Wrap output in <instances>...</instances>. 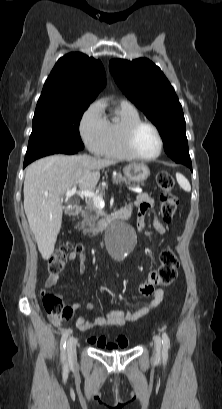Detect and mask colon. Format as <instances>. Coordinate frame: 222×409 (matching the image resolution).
Segmentation results:
<instances>
[{"label": "colon", "instance_id": "obj_1", "mask_svg": "<svg viewBox=\"0 0 222 409\" xmlns=\"http://www.w3.org/2000/svg\"><path fill=\"white\" fill-rule=\"evenodd\" d=\"M157 186L163 193L161 197L160 212L164 219H170L175 214L178 206V199L172 194L175 187V180L168 172H160L157 175ZM78 254H82L83 248L81 245L75 247L71 245H61L54 250L48 261V270L51 274L60 273L68 260L70 250L73 249ZM179 268V259L172 249L167 248L160 254V262L156 269L162 271L160 279L161 287L169 286L176 278ZM150 274V273H149ZM45 311L53 316L62 319H69L73 314V309L66 305L59 295L44 294L42 299Z\"/></svg>", "mask_w": 222, "mask_h": 409}]
</instances>
